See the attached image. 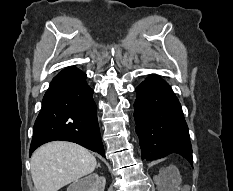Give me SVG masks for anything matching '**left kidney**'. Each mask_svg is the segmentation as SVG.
Segmentation results:
<instances>
[{"instance_id": "5707ae66", "label": "left kidney", "mask_w": 233, "mask_h": 191, "mask_svg": "<svg viewBox=\"0 0 233 191\" xmlns=\"http://www.w3.org/2000/svg\"><path fill=\"white\" fill-rule=\"evenodd\" d=\"M173 183H174L175 185H178V184H179V181H178V180H174Z\"/></svg>"}]
</instances>
